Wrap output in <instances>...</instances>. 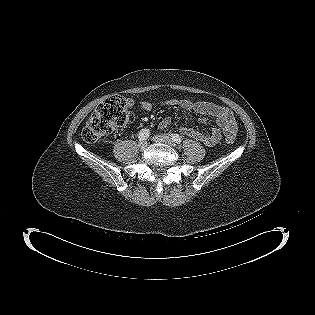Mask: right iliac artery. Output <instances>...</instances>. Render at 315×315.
Instances as JSON below:
<instances>
[{"label": "right iliac artery", "mask_w": 315, "mask_h": 315, "mask_svg": "<svg viewBox=\"0 0 315 315\" xmlns=\"http://www.w3.org/2000/svg\"><path fill=\"white\" fill-rule=\"evenodd\" d=\"M150 134V130L149 129H142L139 134H138V138L139 140H146L149 137Z\"/></svg>", "instance_id": "obj_1"}]
</instances>
